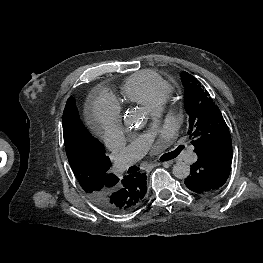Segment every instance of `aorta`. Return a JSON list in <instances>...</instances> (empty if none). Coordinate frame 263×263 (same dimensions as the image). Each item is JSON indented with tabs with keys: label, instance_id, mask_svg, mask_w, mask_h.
<instances>
[{
	"label": "aorta",
	"instance_id": "1",
	"mask_svg": "<svg viewBox=\"0 0 263 263\" xmlns=\"http://www.w3.org/2000/svg\"><path fill=\"white\" fill-rule=\"evenodd\" d=\"M124 123L128 128L135 129L141 125V116L137 111L130 110L125 114ZM190 174V166L185 162H177L173 166V175L178 179H185Z\"/></svg>",
	"mask_w": 263,
	"mask_h": 263
}]
</instances>
